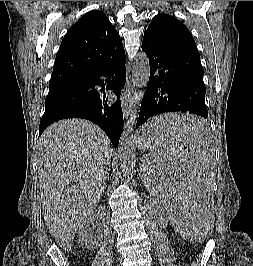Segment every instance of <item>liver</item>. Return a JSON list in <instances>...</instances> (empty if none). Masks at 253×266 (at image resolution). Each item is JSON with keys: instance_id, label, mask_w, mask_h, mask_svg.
<instances>
[{"instance_id": "1", "label": "liver", "mask_w": 253, "mask_h": 266, "mask_svg": "<svg viewBox=\"0 0 253 266\" xmlns=\"http://www.w3.org/2000/svg\"><path fill=\"white\" fill-rule=\"evenodd\" d=\"M112 152L103 130L84 119L58 121L39 139L44 220L52 237L67 251L78 227L102 197Z\"/></svg>"}]
</instances>
